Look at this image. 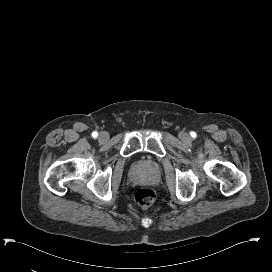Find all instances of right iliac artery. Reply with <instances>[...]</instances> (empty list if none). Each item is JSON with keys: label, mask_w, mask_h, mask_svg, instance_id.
<instances>
[{"label": "right iliac artery", "mask_w": 272, "mask_h": 272, "mask_svg": "<svg viewBox=\"0 0 272 272\" xmlns=\"http://www.w3.org/2000/svg\"><path fill=\"white\" fill-rule=\"evenodd\" d=\"M92 136H93L94 138H96V137L98 136V133H97L96 131H94V132L92 133Z\"/></svg>", "instance_id": "82829eb1"}]
</instances>
